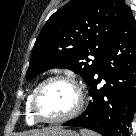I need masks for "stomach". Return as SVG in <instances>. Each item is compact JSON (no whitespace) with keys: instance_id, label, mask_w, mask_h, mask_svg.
<instances>
[{"instance_id":"0dacf381","label":"stomach","mask_w":136,"mask_h":136,"mask_svg":"<svg viewBox=\"0 0 136 136\" xmlns=\"http://www.w3.org/2000/svg\"><path fill=\"white\" fill-rule=\"evenodd\" d=\"M49 136H79L78 133L72 130L55 129Z\"/></svg>"}]
</instances>
